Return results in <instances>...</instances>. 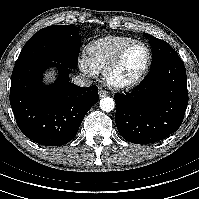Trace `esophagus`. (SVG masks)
<instances>
[{
    "label": "esophagus",
    "mask_w": 199,
    "mask_h": 199,
    "mask_svg": "<svg viewBox=\"0 0 199 199\" xmlns=\"http://www.w3.org/2000/svg\"><path fill=\"white\" fill-rule=\"evenodd\" d=\"M98 95H99V97H105V96H107L108 95V92L106 91V90H103V89H100L99 91H98Z\"/></svg>",
    "instance_id": "34e87169"
}]
</instances>
